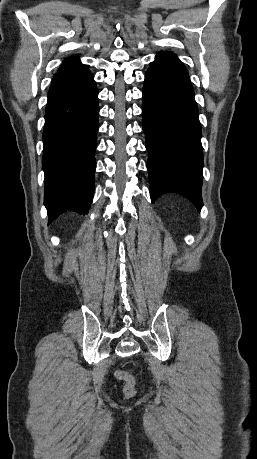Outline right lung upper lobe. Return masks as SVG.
<instances>
[{"mask_svg": "<svg viewBox=\"0 0 257 459\" xmlns=\"http://www.w3.org/2000/svg\"><path fill=\"white\" fill-rule=\"evenodd\" d=\"M89 73L90 71L88 67L80 63L78 57H70L62 64L58 72L54 75L52 83L81 78Z\"/></svg>", "mask_w": 257, "mask_h": 459, "instance_id": "right-lung-upper-lobe-1", "label": "right lung upper lobe"}]
</instances>
